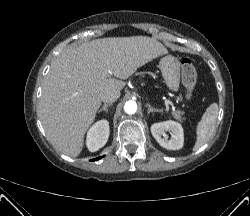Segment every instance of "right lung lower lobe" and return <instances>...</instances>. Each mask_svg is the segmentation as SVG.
I'll list each match as a JSON object with an SVG mask.
<instances>
[{
    "label": "right lung lower lobe",
    "mask_w": 250,
    "mask_h": 216,
    "mask_svg": "<svg viewBox=\"0 0 250 216\" xmlns=\"http://www.w3.org/2000/svg\"><path fill=\"white\" fill-rule=\"evenodd\" d=\"M101 157H98V158H96V159H94V160H92V161H95V160H99Z\"/></svg>",
    "instance_id": "98d812e1"
}]
</instances>
